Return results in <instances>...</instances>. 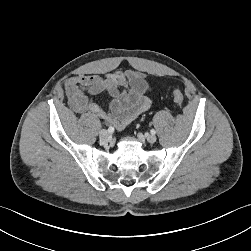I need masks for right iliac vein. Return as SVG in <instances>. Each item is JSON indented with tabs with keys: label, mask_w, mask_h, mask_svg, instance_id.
Wrapping results in <instances>:
<instances>
[{
	"label": "right iliac vein",
	"mask_w": 251,
	"mask_h": 251,
	"mask_svg": "<svg viewBox=\"0 0 251 251\" xmlns=\"http://www.w3.org/2000/svg\"><path fill=\"white\" fill-rule=\"evenodd\" d=\"M99 137L102 142H106L110 137V133L107 130H101Z\"/></svg>",
	"instance_id": "right-iliac-vein-1"
}]
</instances>
